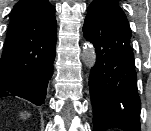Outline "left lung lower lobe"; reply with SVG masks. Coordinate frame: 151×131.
<instances>
[{
	"label": "left lung lower lobe",
	"mask_w": 151,
	"mask_h": 131,
	"mask_svg": "<svg viewBox=\"0 0 151 131\" xmlns=\"http://www.w3.org/2000/svg\"><path fill=\"white\" fill-rule=\"evenodd\" d=\"M131 29L119 9H88L83 34L96 48L89 87L94 131H140V98L137 90Z\"/></svg>",
	"instance_id": "1"
}]
</instances>
